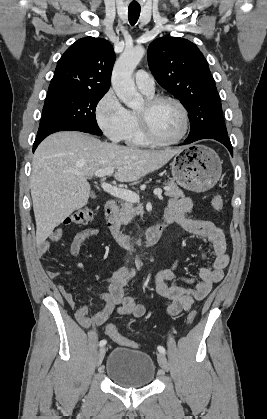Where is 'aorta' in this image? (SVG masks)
<instances>
[{
  "label": "aorta",
  "mask_w": 267,
  "mask_h": 419,
  "mask_svg": "<svg viewBox=\"0 0 267 419\" xmlns=\"http://www.w3.org/2000/svg\"><path fill=\"white\" fill-rule=\"evenodd\" d=\"M145 54L142 47L126 49L117 59L112 72V86L118 98L129 108L143 105V97L137 92L133 72Z\"/></svg>",
  "instance_id": "762f6f07"
}]
</instances>
